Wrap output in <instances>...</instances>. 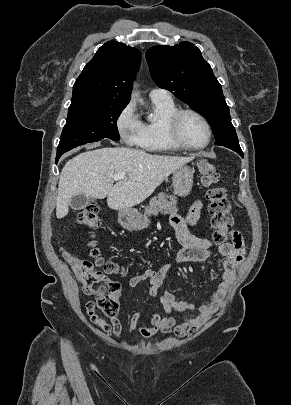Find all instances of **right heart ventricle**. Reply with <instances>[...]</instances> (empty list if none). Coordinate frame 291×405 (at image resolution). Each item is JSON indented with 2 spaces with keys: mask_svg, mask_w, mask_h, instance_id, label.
<instances>
[{
  "mask_svg": "<svg viewBox=\"0 0 291 405\" xmlns=\"http://www.w3.org/2000/svg\"><path fill=\"white\" fill-rule=\"evenodd\" d=\"M153 116L141 121V135L138 146L145 151L166 153L177 152L181 148L170 139L167 130L168 120L178 110L170 100H152Z\"/></svg>",
  "mask_w": 291,
  "mask_h": 405,
  "instance_id": "right-heart-ventricle-1",
  "label": "right heart ventricle"
}]
</instances>
